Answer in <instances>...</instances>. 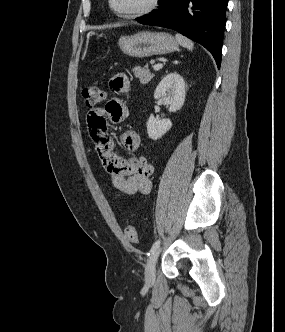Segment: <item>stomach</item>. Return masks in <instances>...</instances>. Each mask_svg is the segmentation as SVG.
I'll list each match as a JSON object with an SVG mask.
<instances>
[{
	"label": "stomach",
	"mask_w": 285,
	"mask_h": 332,
	"mask_svg": "<svg viewBox=\"0 0 285 332\" xmlns=\"http://www.w3.org/2000/svg\"><path fill=\"white\" fill-rule=\"evenodd\" d=\"M118 45L124 54L136 58L167 54L178 48L177 41L171 34L147 31L121 36Z\"/></svg>",
	"instance_id": "obj_1"
}]
</instances>
